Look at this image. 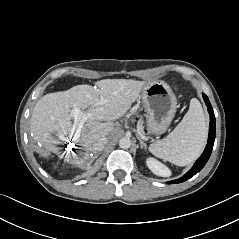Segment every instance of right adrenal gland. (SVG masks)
Segmentation results:
<instances>
[{"mask_svg":"<svg viewBox=\"0 0 239 239\" xmlns=\"http://www.w3.org/2000/svg\"><path fill=\"white\" fill-rule=\"evenodd\" d=\"M95 158H97V156L93 157L92 161L95 160ZM92 161H91V162H92Z\"/></svg>","mask_w":239,"mask_h":239,"instance_id":"1","label":"right adrenal gland"}]
</instances>
